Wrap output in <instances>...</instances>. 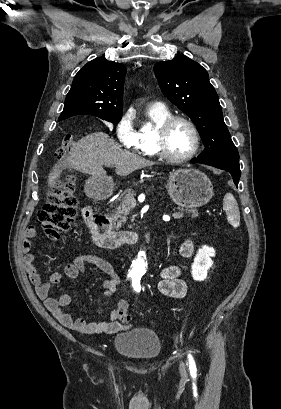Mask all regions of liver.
I'll list each match as a JSON object with an SVG mask.
<instances>
[{
  "mask_svg": "<svg viewBox=\"0 0 281 409\" xmlns=\"http://www.w3.org/2000/svg\"><path fill=\"white\" fill-rule=\"evenodd\" d=\"M104 162L113 164L116 174H120V176H127L137 168L154 164L153 160H147V158L129 152V150H122L105 132H92V134H87L75 142L70 156L60 158V162L53 166V170L48 176V184L53 186L56 178L60 176V166H71V168H76L84 174H91L94 178L106 180L110 176H107L106 170L102 166Z\"/></svg>",
  "mask_w": 281,
  "mask_h": 409,
  "instance_id": "liver-1",
  "label": "liver"
}]
</instances>
